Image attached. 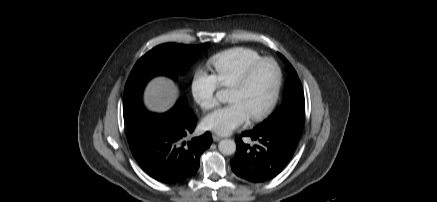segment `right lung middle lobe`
I'll use <instances>...</instances> for the list:
<instances>
[{"instance_id":"1","label":"right lung middle lobe","mask_w":437,"mask_h":202,"mask_svg":"<svg viewBox=\"0 0 437 202\" xmlns=\"http://www.w3.org/2000/svg\"><path fill=\"white\" fill-rule=\"evenodd\" d=\"M209 46L210 43L197 46L166 43L156 46L139 59L124 90V120L129 137L136 133L141 119L149 113L142 104V93L147 82L158 75L176 80L179 75L186 73ZM174 108L192 111L184 96L177 101Z\"/></svg>"}]
</instances>
